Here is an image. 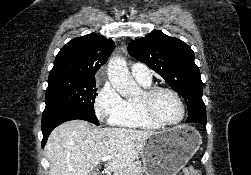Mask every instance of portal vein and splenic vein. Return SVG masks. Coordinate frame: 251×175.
<instances>
[{"label": "portal vein and splenic vein", "instance_id": "1", "mask_svg": "<svg viewBox=\"0 0 251 175\" xmlns=\"http://www.w3.org/2000/svg\"><path fill=\"white\" fill-rule=\"evenodd\" d=\"M111 155H104V157H102V161H108V159H110Z\"/></svg>", "mask_w": 251, "mask_h": 175}]
</instances>
